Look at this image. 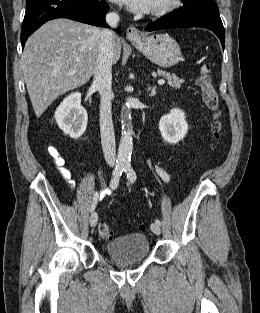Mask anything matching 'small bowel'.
I'll use <instances>...</instances> for the list:
<instances>
[{
	"label": "small bowel",
	"instance_id": "c3829d8e",
	"mask_svg": "<svg viewBox=\"0 0 260 313\" xmlns=\"http://www.w3.org/2000/svg\"><path fill=\"white\" fill-rule=\"evenodd\" d=\"M49 154L54 158V160L58 166H62L64 164V160L62 159V157L60 156V153L55 148L50 147L49 148ZM157 172L164 181L169 180V174L163 168L157 167ZM61 173H62V176L65 179V181L69 184V186L71 188H74L75 182L72 178L70 171H68L65 168H62ZM102 198H103V195L100 197V199H102ZM97 200H98V198H97Z\"/></svg>",
	"mask_w": 260,
	"mask_h": 313
}]
</instances>
